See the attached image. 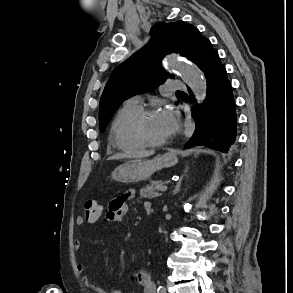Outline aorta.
Segmentation results:
<instances>
[{
  "label": "aorta",
  "instance_id": "762f6f07",
  "mask_svg": "<svg viewBox=\"0 0 293 293\" xmlns=\"http://www.w3.org/2000/svg\"><path fill=\"white\" fill-rule=\"evenodd\" d=\"M165 66L179 73L182 80L193 91L198 103H201L206 98V80L196 65L178 55H170L165 59Z\"/></svg>",
  "mask_w": 293,
  "mask_h": 293
}]
</instances>
